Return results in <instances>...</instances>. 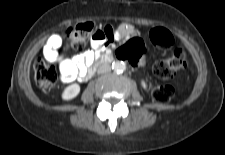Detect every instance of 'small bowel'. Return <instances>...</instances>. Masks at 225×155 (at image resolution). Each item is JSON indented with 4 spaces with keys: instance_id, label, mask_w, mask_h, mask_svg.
I'll return each instance as SVG.
<instances>
[{
    "instance_id": "small-bowel-1",
    "label": "small bowel",
    "mask_w": 225,
    "mask_h": 155,
    "mask_svg": "<svg viewBox=\"0 0 225 155\" xmlns=\"http://www.w3.org/2000/svg\"><path fill=\"white\" fill-rule=\"evenodd\" d=\"M130 33L128 27H122L116 34L118 38ZM115 36L111 27L97 31L91 38V50L79 54L72 59L64 58L59 49L62 45V39L54 34L49 37L43 47V56L49 62H57L61 73V80L65 83L74 81L77 78L83 79L87 74V68L92 64L97 56V52Z\"/></svg>"
}]
</instances>
